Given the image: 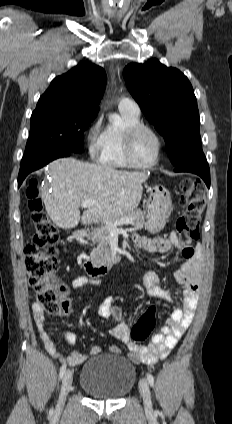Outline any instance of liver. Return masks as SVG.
Masks as SVG:
<instances>
[{"instance_id": "obj_1", "label": "liver", "mask_w": 232, "mask_h": 424, "mask_svg": "<svg viewBox=\"0 0 232 424\" xmlns=\"http://www.w3.org/2000/svg\"><path fill=\"white\" fill-rule=\"evenodd\" d=\"M47 169L51 181L49 187L41 188V199L48 216L62 229L74 228L80 220L84 225L108 223L134 211L141 201L142 183L149 176L74 158L57 159ZM87 200L96 204L80 216L79 206Z\"/></svg>"}]
</instances>
